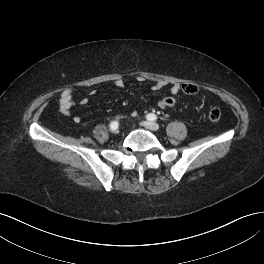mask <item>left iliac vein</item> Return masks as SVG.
I'll return each mask as SVG.
<instances>
[{
	"instance_id": "left-iliac-vein-1",
	"label": "left iliac vein",
	"mask_w": 264,
	"mask_h": 264,
	"mask_svg": "<svg viewBox=\"0 0 264 264\" xmlns=\"http://www.w3.org/2000/svg\"><path fill=\"white\" fill-rule=\"evenodd\" d=\"M141 125L147 129L153 130V131H157L159 130V125L155 122H151V121H143L141 122Z\"/></svg>"
}]
</instances>
